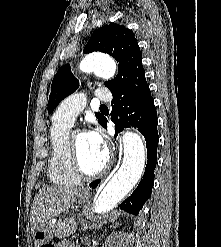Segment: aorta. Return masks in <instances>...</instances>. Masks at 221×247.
Wrapping results in <instances>:
<instances>
[{
    "instance_id": "obj_1",
    "label": "aorta",
    "mask_w": 221,
    "mask_h": 247,
    "mask_svg": "<svg viewBox=\"0 0 221 247\" xmlns=\"http://www.w3.org/2000/svg\"><path fill=\"white\" fill-rule=\"evenodd\" d=\"M80 69L93 70L98 76L109 79L115 75L116 63L105 54L94 53L81 62ZM144 165L145 147L142 138L136 132H124L122 164L98 196L95 212L105 213L116 207L140 180Z\"/></svg>"
}]
</instances>
